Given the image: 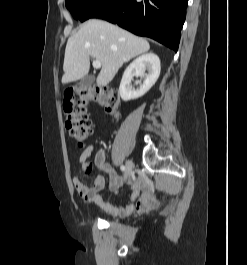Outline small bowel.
<instances>
[{
  "label": "small bowel",
  "mask_w": 247,
  "mask_h": 265,
  "mask_svg": "<svg viewBox=\"0 0 247 265\" xmlns=\"http://www.w3.org/2000/svg\"><path fill=\"white\" fill-rule=\"evenodd\" d=\"M93 152L94 147L88 146L80 154L79 162L82 169L85 171L89 170L90 165L88 159L92 156ZM94 164L100 171L108 174L109 187L111 190H116L123 184V179L118 177L113 167L106 162L104 151L100 150L95 154ZM73 185L84 201L99 206L113 217H126L133 212H146L155 209L160 203V198H158L149 188L141 190L139 185L135 182L130 184V201L121 207L114 206L103 200L101 193L105 186V180L101 175L94 178L91 187L85 185L79 176L73 178Z\"/></svg>",
  "instance_id": "1"
}]
</instances>
